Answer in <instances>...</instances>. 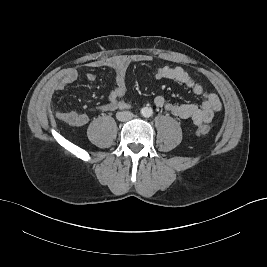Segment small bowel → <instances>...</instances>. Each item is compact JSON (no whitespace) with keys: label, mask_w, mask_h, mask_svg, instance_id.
Listing matches in <instances>:
<instances>
[{"label":"small bowel","mask_w":267,"mask_h":267,"mask_svg":"<svg viewBox=\"0 0 267 267\" xmlns=\"http://www.w3.org/2000/svg\"><path fill=\"white\" fill-rule=\"evenodd\" d=\"M152 57L146 54L115 55L108 58H100L87 63L92 69L108 68L112 71L115 80V87L109 91L107 103L99 105L97 111L100 113L111 112L118 109H127L131 105L124 97L127 91L126 73L133 63L149 62ZM79 73L76 69H70L57 81L54 89L64 91L70 84L77 81ZM153 77L157 80H174L188 87L195 95L203 98L200 106L194 104H177L169 102L164 96L158 95L154 99V104L160 109H164L173 116L181 119H189L195 126L210 123L215 113L221 111L222 103L218 95L207 92L202 83L191 76L180 66H159L153 72ZM87 80L93 82L95 75L87 74ZM56 116L72 125L81 127L89 122V117L85 112L69 111L64 112L56 109Z\"/></svg>","instance_id":"c3829d8e"}]
</instances>
